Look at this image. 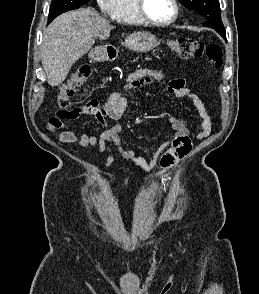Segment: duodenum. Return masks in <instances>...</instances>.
Wrapping results in <instances>:
<instances>
[{"instance_id": "duodenum-1", "label": "duodenum", "mask_w": 259, "mask_h": 294, "mask_svg": "<svg viewBox=\"0 0 259 294\" xmlns=\"http://www.w3.org/2000/svg\"><path fill=\"white\" fill-rule=\"evenodd\" d=\"M107 56L109 57V58H112L113 56L112 55H110L109 53H107Z\"/></svg>"}]
</instances>
